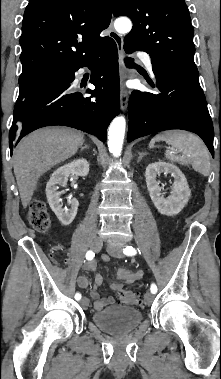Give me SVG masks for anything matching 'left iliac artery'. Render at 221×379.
Returning <instances> with one entry per match:
<instances>
[{"label": "left iliac artery", "instance_id": "1", "mask_svg": "<svg viewBox=\"0 0 221 379\" xmlns=\"http://www.w3.org/2000/svg\"><path fill=\"white\" fill-rule=\"evenodd\" d=\"M123 252L125 255H128V256H133V255H136L137 251L134 247L132 246H127L125 249H123ZM150 291L155 294L157 292V286L156 284H151V287H150Z\"/></svg>", "mask_w": 221, "mask_h": 379}]
</instances>
